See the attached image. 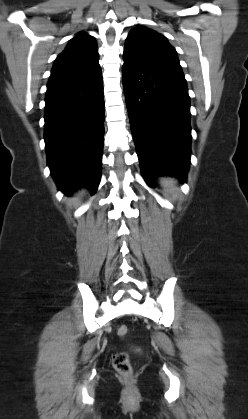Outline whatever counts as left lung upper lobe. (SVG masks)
Instances as JSON below:
<instances>
[{
  "label": "left lung upper lobe",
  "mask_w": 248,
  "mask_h": 419,
  "mask_svg": "<svg viewBox=\"0 0 248 419\" xmlns=\"http://www.w3.org/2000/svg\"><path fill=\"white\" fill-rule=\"evenodd\" d=\"M124 52L140 61L183 73L174 47L163 35L149 28H134L126 39Z\"/></svg>",
  "instance_id": "left-lung-upper-lobe-1"
}]
</instances>
